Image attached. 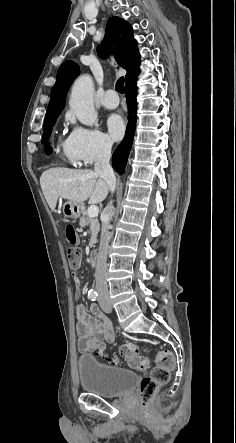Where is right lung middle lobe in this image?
<instances>
[{"instance_id": "dd1d6c3e", "label": "right lung middle lobe", "mask_w": 236, "mask_h": 443, "mask_svg": "<svg viewBox=\"0 0 236 443\" xmlns=\"http://www.w3.org/2000/svg\"><path fill=\"white\" fill-rule=\"evenodd\" d=\"M57 117L58 116H55V117L48 119L44 122L42 143H46L47 140L49 139L51 131H52V127L55 124ZM46 149L48 150V149H50V147L47 146Z\"/></svg>"}]
</instances>
